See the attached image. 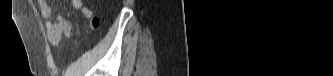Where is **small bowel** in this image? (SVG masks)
<instances>
[{"label": "small bowel", "instance_id": "1", "mask_svg": "<svg viewBox=\"0 0 333 76\" xmlns=\"http://www.w3.org/2000/svg\"><path fill=\"white\" fill-rule=\"evenodd\" d=\"M38 5L40 7L41 16L46 21L47 38L51 46L56 47L59 45L61 39L70 38L72 36V25L66 19L59 14L52 18L53 10L48 1L39 0ZM71 5L90 21V27L96 28L98 26V18L94 16L93 11L88 8L82 0H71Z\"/></svg>", "mask_w": 333, "mask_h": 76}]
</instances>
